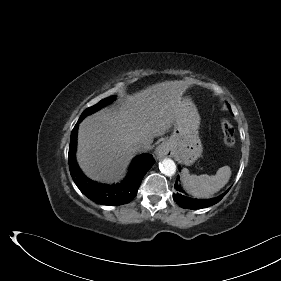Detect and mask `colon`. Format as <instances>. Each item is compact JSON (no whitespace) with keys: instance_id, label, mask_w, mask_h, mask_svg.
I'll return each instance as SVG.
<instances>
[{"instance_id":"colon-1","label":"colon","mask_w":281,"mask_h":281,"mask_svg":"<svg viewBox=\"0 0 281 281\" xmlns=\"http://www.w3.org/2000/svg\"><path fill=\"white\" fill-rule=\"evenodd\" d=\"M221 129L223 132V141L227 147H232L235 144L234 129L230 122L226 119L221 120Z\"/></svg>"}]
</instances>
